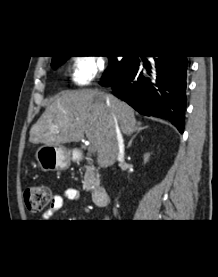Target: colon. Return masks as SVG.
Masks as SVG:
<instances>
[{"instance_id": "obj_1", "label": "colon", "mask_w": 218, "mask_h": 277, "mask_svg": "<svg viewBox=\"0 0 218 277\" xmlns=\"http://www.w3.org/2000/svg\"><path fill=\"white\" fill-rule=\"evenodd\" d=\"M51 198L50 188L45 185L28 187L24 192V202L31 212H40L48 204Z\"/></svg>"}]
</instances>
